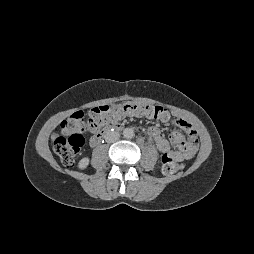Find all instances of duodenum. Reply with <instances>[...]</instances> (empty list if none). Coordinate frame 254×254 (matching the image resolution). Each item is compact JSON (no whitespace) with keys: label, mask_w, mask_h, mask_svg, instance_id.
<instances>
[{"label":"duodenum","mask_w":254,"mask_h":254,"mask_svg":"<svg viewBox=\"0 0 254 254\" xmlns=\"http://www.w3.org/2000/svg\"><path fill=\"white\" fill-rule=\"evenodd\" d=\"M122 129H123L122 125L116 124L113 126V129H105L93 135L90 139V143L92 146H97L102 142L104 137L108 135L109 132H111L112 130H122Z\"/></svg>","instance_id":"obj_1"}]
</instances>
